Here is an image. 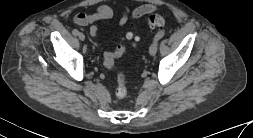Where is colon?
I'll return each mask as SVG.
<instances>
[{"label":"colon","instance_id":"obj_1","mask_svg":"<svg viewBox=\"0 0 253 138\" xmlns=\"http://www.w3.org/2000/svg\"><path fill=\"white\" fill-rule=\"evenodd\" d=\"M146 24L150 29H160L165 25L164 18L159 14H151L146 18ZM138 35L135 29L129 30L125 34L124 41L119 43L115 50L107 52L104 56V64L109 69L116 68V59L123 56L127 51V43L135 44L138 41ZM115 95L118 99H123L127 95L126 77L123 73L117 75V87Z\"/></svg>","mask_w":253,"mask_h":138}]
</instances>
